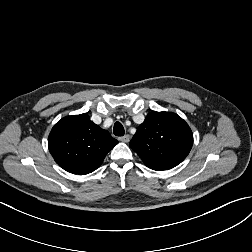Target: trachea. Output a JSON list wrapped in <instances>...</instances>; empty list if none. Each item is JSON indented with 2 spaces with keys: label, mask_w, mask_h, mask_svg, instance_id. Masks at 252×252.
<instances>
[{
  "label": "trachea",
  "mask_w": 252,
  "mask_h": 252,
  "mask_svg": "<svg viewBox=\"0 0 252 252\" xmlns=\"http://www.w3.org/2000/svg\"><path fill=\"white\" fill-rule=\"evenodd\" d=\"M113 132L115 136H124V127L120 122H116L113 127Z\"/></svg>",
  "instance_id": "3493384b"
}]
</instances>
